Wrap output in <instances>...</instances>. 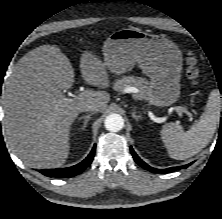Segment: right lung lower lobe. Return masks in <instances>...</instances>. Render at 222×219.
Masks as SVG:
<instances>
[{"instance_id": "right-lung-lower-lobe-1", "label": "right lung lower lobe", "mask_w": 222, "mask_h": 219, "mask_svg": "<svg viewBox=\"0 0 222 219\" xmlns=\"http://www.w3.org/2000/svg\"><path fill=\"white\" fill-rule=\"evenodd\" d=\"M95 149H96V146H94L90 154L82 162H80L77 165H74L68 168H60V169H43V170H40V172L48 177L67 178V177L76 176L80 174L82 171H84L85 168L91 164L94 158Z\"/></svg>"}]
</instances>
